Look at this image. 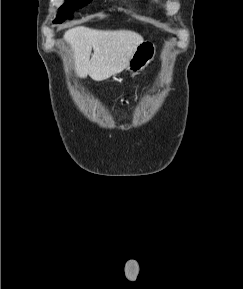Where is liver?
I'll use <instances>...</instances> for the list:
<instances>
[{
    "mask_svg": "<svg viewBox=\"0 0 243 289\" xmlns=\"http://www.w3.org/2000/svg\"><path fill=\"white\" fill-rule=\"evenodd\" d=\"M79 77L105 80L123 71L143 37L130 30H97L78 26L64 33ZM93 49V54H91ZM91 56V58H90Z\"/></svg>",
    "mask_w": 243,
    "mask_h": 289,
    "instance_id": "obj_1",
    "label": "liver"
}]
</instances>
